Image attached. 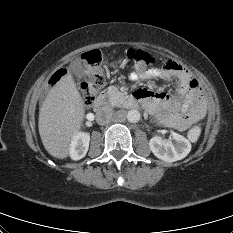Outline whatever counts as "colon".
I'll list each match as a JSON object with an SVG mask.
<instances>
[{"label":"colon","instance_id":"1","mask_svg":"<svg viewBox=\"0 0 233 233\" xmlns=\"http://www.w3.org/2000/svg\"><path fill=\"white\" fill-rule=\"evenodd\" d=\"M128 59L137 69H148L156 63V59L148 52L141 49H129L127 51ZM83 60L91 68L90 74L81 83L82 98L86 106H90L96 95L102 90L105 79L100 71L101 56L98 51H89L83 55ZM67 74L65 69L58 70L50 79V86H54L61 78ZM201 135V128L198 125L192 127L188 132V138L191 142H195Z\"/></svg>","mask_w":233,"mask_h":233}]
</instances>
